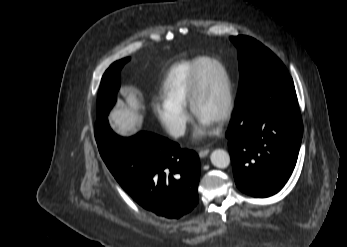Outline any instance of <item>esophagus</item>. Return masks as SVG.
Instances as JSON below:
<instances>
[{
  "instance_id": "1",
  "label": "esophagus",
  "mask_w": 347,
  "mask_h": 247,
  "mask_svg": "<svg viewBox=\"0 0 347 247\" xmlns=\"http://www.w3.org/2000/svg\"><path fill=\"white\" fill-rule=\"evenodd\" d=\"M210 150L208 148H202L199 150V157L204 158L209 154Z\"/></svg>"
}]
</instances>
